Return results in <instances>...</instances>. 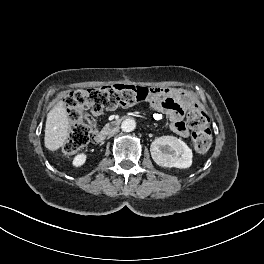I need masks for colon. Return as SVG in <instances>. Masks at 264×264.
<instances>
[{
    "label": "colon",
    "instance_id": "obj_1",
    "mask_svg": "<svg viewBox=\"0 0 264 264\" xmlns=\"http://www.w3.org/2000/svg\"><path fill=\"white\" fill-rule=\"evenodd\" d=\"M150 95V89L131 85H109L71 91L65 103L71 119L70 133L63 146L67 157L73 156L85 146L91 135V127L83 119L84 110H113L133 106ZM187 123L193 129L192 142L197 152H206L212 141L208 128V116L197 106L191 105L187 112Z\"/></svg>",
    "mask_w": 264,
    "mask_h": 264
}]
</instances>
